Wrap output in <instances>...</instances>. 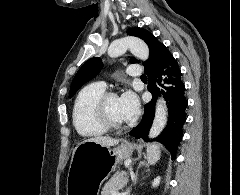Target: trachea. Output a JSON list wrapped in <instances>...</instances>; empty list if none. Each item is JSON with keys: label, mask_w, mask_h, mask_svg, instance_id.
Returning a JSON list of instances; mask_svg holds the SVG:
<instances>
[{"label": "trachea", "mask_w": 240, "mask_h": 195, "mask_svg": "<svg viewBox=\"0 0 240 195\" xmlns=\"http://www.w3.org/2000/svg\"><path fill=\"white\" fill-rule=\"evenodd\" d=\"M146 78V75H141V79H145Z\"/></svg>", "instance_id": "1"}]
</instances>
